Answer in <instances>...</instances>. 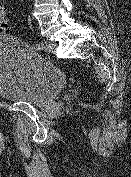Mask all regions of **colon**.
<instances>
[{
  "label": "colon",
  "mask_w": 131,
  "mask_h": 177,
  "mask_svg": "<svg viewBox=\"0 0 131 177\" xmlns=\"http://www.w3.org/2000/svg\"><path fill=\"white\" fill-rule=\"evenodd\" d=\"M0 29L4 31L9 29V21L6 15V9L1 1H0Z\"/></svg>",
  "instance_id": "1"
}]
</instances>
